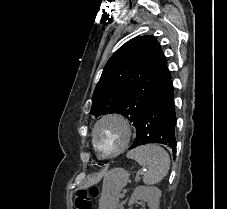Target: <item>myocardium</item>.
Returning a JSON list of instances; mask_svg holds the SVG:
<instances>
[{"mask_svg":"<svg viewBox=\"0 0 227 209\" xmlns=\"http://www.w3.org/2000/svg\"><path fill=\"white\" fill-rule=\"evenodd\" d=\"M107 119H113V120H116L118 122H120L125 130H126V138L123 142V144L121 145L120 148H118L117 150L113 151V152H109V153H102L97 144H96V141H95V133H96V130H97V127L105 120ZM132 135H133V131H132V127H131V124L129 122V120L122 114L118 113V112H109V113H106L102 116H100L94 123L93 127H92V130H91V145L93 147V150L95 151L96 155L101 158V159H110V158H113V157H116L118 156L119 154H121L127 147L128 145L130 144L131 142V139H132Z\"/></svg>","mask_w":227,"mask_h":209,"instance_id":"1","label":"myocardium"}]
</instances>
